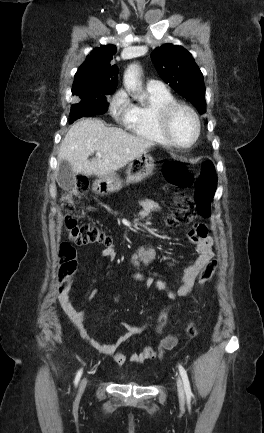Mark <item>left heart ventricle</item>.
<instances>
[{
  "mask_svg": "<svg viewBox=\"0 0 264 433\" xmlns=\"http://www.w3.org/2000/svg\"><path fill=\"white\" fill-rule=\"evenodd\" d=\"M195 130L194 119L187 111L179 110L172 117L170 131L174 139L180 144L189 143L194 137Z\"/></svg>",
  "mask_w": 264,
  "mask_h": 433,
  "instance_id": "obj_1",
  "label": "left heart ventricle"
}]
</instances>
